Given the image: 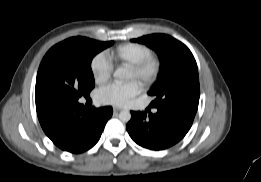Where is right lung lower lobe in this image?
I'll use <instances>...</instances> for the list:
<instances>
[{
  "mask_svg": "<svg viewBox=\"0 0 261 182\" xmlns=\"http://www.w3.org/2000/svg\"><path fill=\"white\" fill-rule=\"evenodd\" d=\"M111 107L85 110L77 102H58L37 110L40 124L52 142L64 151L81 153L99 140Z\"/></svg>",
  "mask_w": 261,
  "mask_h": 182,
  "instance_id": "98d812e1",
  "label": "right lung lower lobe"
}]
</instances>
